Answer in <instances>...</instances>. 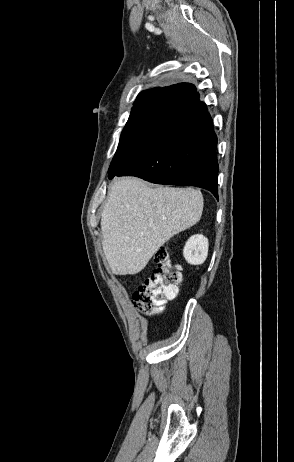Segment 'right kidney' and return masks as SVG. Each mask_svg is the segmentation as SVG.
<instances>
[{
    "instance_id": "right-kidney-1",
    "label": "right kidney",
    "mask_w": 294,
    "mask_h": 462,
    "mask_svg": "<svg viewBox=\"0 0 294 462\" xmlns=\"http://www.w3.org/2000/svg\"><path fill=\"white\" fill-rule=\"evenodd\" d=\"M208 239L202 234L191 236L183 249L185 260L192 265H201L208 255Z\"/></svg>"
}]
</instances>
